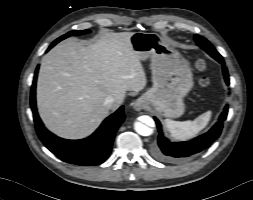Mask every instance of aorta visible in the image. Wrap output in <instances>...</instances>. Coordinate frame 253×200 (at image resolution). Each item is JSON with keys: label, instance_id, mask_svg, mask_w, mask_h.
I'll list each match as a JSON object with an SVG mask.
<instances>
[{"label": "aorta", "instance_id": "aorta-1", "mask_svg": "<svg viewBox=\"0 0 253 200\" xmlns=\"http://www.w3.org/2000/svg\"><path fill=\"white\" fill-rule=\"evenodd\" d=\"M134 129L138 134H140L142 136H149L153 133L152 128H150L149 126H147L141 122H135Z\"/></svg>", "mask_w": 253, "mask_h": 200}]
</instances>
